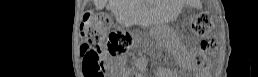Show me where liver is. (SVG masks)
I'll list each match as a JSON object with an SVG mask.
<instances>
[{
    "mask_svg": "<svg viewBox=\"0 0 258 77\" xmlns=\"http://www.w3.org/2000/svg\"><path fill=\"white\" fill-rule=\"evenodd\" d=\"M107 0H94L96 10L103 9ZM109 5L117 20L125 26L132 25L138 14L137 2L132 0H109Z\"/></svg>",
    "mask_w": 258,
    "mask_h": 77,
    "instance_id": "6515ba94",
    "label": "liver"
}]
</instances>
